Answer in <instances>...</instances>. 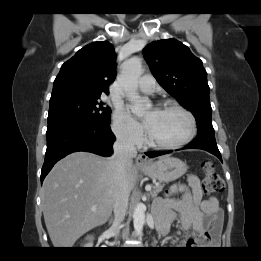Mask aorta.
<instances>
[{"label":"aorta","instance_id":"1","mask_svg":"<svg viewBox=\"0 0 261 261\" xmlns=\"http://www.w3.org/2000/svg\"><path fill=\"white\" fill-rule=\"evenodd\" d=\"M142 74V62L139 57H133L122 64L120 73V83L124 89L126 97L129 101L138 106H150V101L147 98H142L138 92V79ZM136 115H141L142 110L134 112ZM145 223V206L139 203L133 212V225L137 235H141Z\"/></svg>","mask_w":261,"mask_h":261}]
</instances>
